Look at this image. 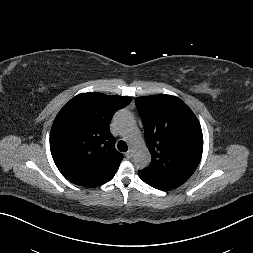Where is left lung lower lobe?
<instances>
[{
    "label": "left lung lower lobe",
    "instance_id": "1",
    "mask_svg": "<svg viewBox=\"0 0 253 253\" xmlns=\"http://www.w3.org/2000/svg\"><path fill=\"white\" fill-rule=\"evenodd\" d=\"M139 177L142 181H144L148 185H150V186H152L156 189H159V190L168 191V190H172V189L177 188V187L180 186V185H177V184H174V183L150 180V179L142 177L141 175H139Z\"/></svg>",
    "mask_w": 253,
    "mask_h": 253
}]
</instances>
